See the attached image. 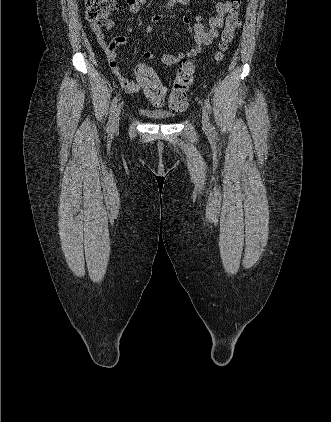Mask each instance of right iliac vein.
I'll return each mask as SVG.
<instances>
[{
	"label": "right iliac vein",
	"instance_id": "obj_1",
	"mask_svg": "<svg viewBox=\"0 0 331 422\" xmlns=\"http://www.w3.org/2000/svg\"><path fill=\"white\" fill-rule=\"evenodd\" d=\"M121 107H122V105L119 104L116 108V111H115V114H114V119H113L112 129H116L119 126L120 115H121Z\"/></svg>",
	"mask_w": 331,
	"mask_h": 422
}]
</instances>
